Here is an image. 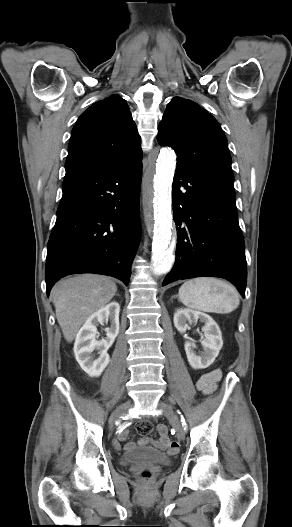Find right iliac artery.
Listing matches in <instances>:
<instances>
[{"label": "right iliac artery", "instance_id": "right-iliac-artery-1", "mask_svg": "<svg viewBox=\"0 0 292 527\" xmlns=\"http://www.w3.org/2000/svg\"><path fill=\"white\" fill-rule=\"evenodd\" d=\"M131 421H130V424H128V422H122L120 425H117V432H121V431H125L127 429V427H131V426H135V419H136V416L134 414H132V416L129 418Z\"/></svg>", "mask_w": 292, "mask_h": 527}]
</instances>
